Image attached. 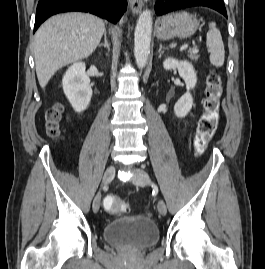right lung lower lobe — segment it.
I'll return each mask as SVG.
<instances>
[{
  "label": "right lung lower lobe",
  "instance_id": "right-lung-lower-lobe-1",
  "mask_svg": "<svg viewBox=\"0 0 265 269\" xmlns=\"http://www.w3.org/2000/svg\"><path fill=\"white\" fill-rule=\"evenodd\" d=\"M126 9V0H39L34 32L48 17L61 12H89L116 23Z\"/></svg>",
  "mask_w": 265,
  "mask_h": 269
}]
</instances>
